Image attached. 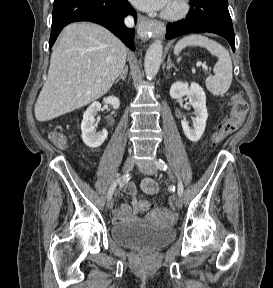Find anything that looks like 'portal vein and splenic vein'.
<instances>
[{"label":"portal vein and splenic vein","instance_id":"portal-vein-and-splenic-vein-1","mask_svg":"<svg viewBox=\"0 0 273 288\" xmlns=\"http://www.w3.org/2000/svg\"><path fill=\"white\" fill-rule=\"evenodd\" d=\"M197 66L205 67V64H202L201 62H198V63H197Z\"/></svg>","mask_w":273,"mask_h":288}]
</instances>
